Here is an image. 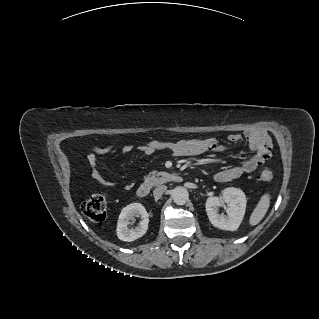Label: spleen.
Returning <instances> with one entry per match:
<instances>
[{
    "mask_svg": "<svg viewBox=\"0 0 319 319\" xmlns=\"http://www.w3.org/2000/svg\"><path fill=\"white\" fill-rule=\"evenodd\" d=\"M269 206H270V195L266 193L261 197L257 206L253 210L249 219V224L251 226L257 225L267 213Z\"/></svg>",
    "mask_w": 319,
    "mask_h": 319,
    "instance_id": "1",
    "label": "spleen"
}]
</instances>
